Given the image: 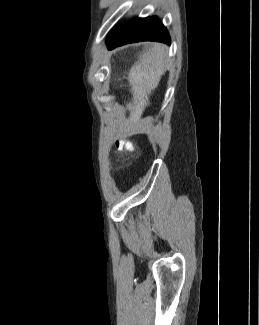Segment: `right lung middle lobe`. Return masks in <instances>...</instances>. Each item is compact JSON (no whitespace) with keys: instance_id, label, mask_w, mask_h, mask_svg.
I'll return each mask as SVG.
<instances>
[{"instance_id":"right-lung-middle-lobe-1","label":"right lung middle lobe","mask_w":259,"mask_h":325,"mask_svg":"<svg viewBox=\"0 0 259 325\" xmlns=\"http://www.w3.org/2000/svg\"><path fill=\"white\" fill-rule=\"evenodd\" d=\"M117 28H118V27H116L115 29H113V30L109 33L107 39H109V38L113 35V33L117 30Z\"/></svg>"}]
</instances>
